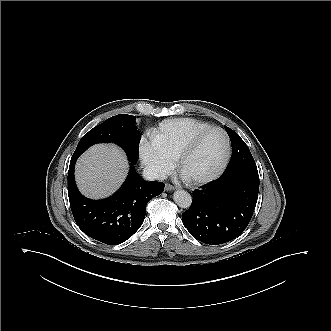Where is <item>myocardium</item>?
<instances>
[{
    "instance_id": "f54148a6",
    "label": "myocardium",
    "mask_w": 331,
    "mask_h": 331,
    "mask_svg": "<svg viewBox=\"0 0 331 331\" xmlns=\"http://www.w3.org/2000/svg\"><path fill=\"white\" fill-rule=\"evenodd\" d=\"M211 132H219L224 139V154H223V158L221 160V163L219 164V166L209 175L207 176H202V177H192L189 178L191 183L194 184H204V183H208L211 182L213 180H215L216 178H218L226 169L228 162H229V158H230V140L229 137L227 135V133L220 127H209L206 128L198 133H196L195 135H193L185 144L184 146L181 148L179 155H178V159H177V168L178 170L183 173L182 171V166L184 163V160L186 159V157L189 155V153L194 149V147L196 146V144L199 142V140L211 133Z\"/></svg>"
}]
</instances>
